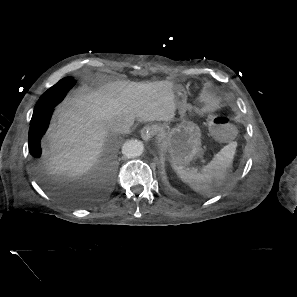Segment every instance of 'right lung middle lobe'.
Masks as SVG:
<instances>
[{
    "label": "right lung middle lobe",
    "instance_id": "1",
    "mask_svg": "<svg viewBox=\"0 0 297 297\" xmlns=\"http://www.w3.org/2000/svg\"><path fill=\"white\" fill-rule=\"evenodd\" d=\"M75 81L72 77H66L57 84L49 88L39 99L34 109L33 117H38L50 107L55 106L63 100L66 93L74 86Z\"/></svg>",
    "mask_w": 297,
    "mask_h": 297
}]
</instances>
